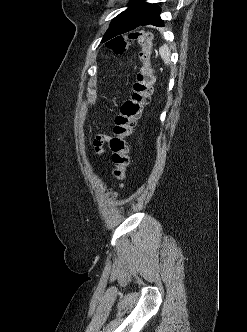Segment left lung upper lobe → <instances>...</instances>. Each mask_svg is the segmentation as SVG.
Masks as SVG:
<instances>
[{"label":"left lung upper lobe","mask_w":247,"mask_h":332,"mask_svg":"<svg viewBox=\"0 0 247 332\" xmlns=\"http://www.w3.org/2000/svg\"><path fill=\"white\" fill-rule=\"evenodd\" d=\"M145 5V0H132L129 3V7L116 16L110 26L109 29L106 31L103 39L101 42H105L117 35H119V31L124 23L134 17V15L138 12L140 8Z\"/></svg>","instance_id":"5c2ea615"}]
</instances>
